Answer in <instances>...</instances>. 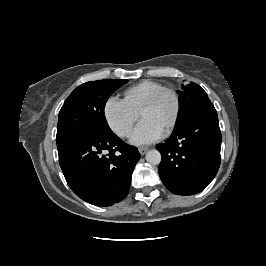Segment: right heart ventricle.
Returning a JSON list of instances; mask_svg holds the SVG:
<instances>
[{
  "label": "right heart ventricle",
  "mask_w": 266,
  "mask_h": 266,
  "mask_svg": "<svg viewBox=\"0 0 266 266\" xmlns=\"http://www.w3.org/2000/svg\"><path fill=\"white\" fill-rule=\"evenodd\" d=\"M163 87L164 85L156 81H142L129 87L124 92L125 101L139 113L144 103L152 96V94Z\"/></svg>",
  "instance_id": "right-heart-ventricle-1"
}]
</instances>
